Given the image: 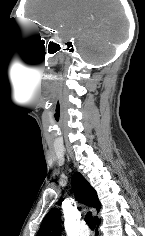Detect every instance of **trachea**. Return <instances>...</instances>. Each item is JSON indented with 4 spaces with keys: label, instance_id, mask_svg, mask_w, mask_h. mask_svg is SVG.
<instances>
[{
    "label": "trachea",
    "instance_id": "trachea-1",
    "mask_svg": "<svg viewBox=\"0 0 145 236\" xmlns=\"http://www.w3.org/2000/svg\"><path fill=\"white\" fill-rule=\"evenodd\" d=\"M85 221L86 223L88 224V226L91 228V229H94L95 228V223H94V220H93V217H92V213L91 212H88L85 216Z\"/></svg>",
    "mask_w": 145,
    "mask_h": 236
}]
</instances>
